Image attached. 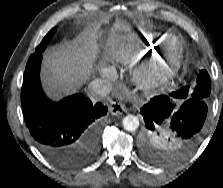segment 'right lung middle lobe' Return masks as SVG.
Listing matches in <instances>:
<instances>
[{
    "mask_svg": "<svg viewBox=\"0 0 223 188\" xmlns=\"http://www.w3.org/2000/svg\"><path fill=\"white\" fill-rule=\"evenodd\" d=\"M56 28H53L49 31V33L43 38L42 42L39 44V46L36 48V52H43L49 41L51 40L52 36L55 34Z\"/></svg>",
    "mask_w": 223,
    "mask_h": 188,
    "instance_id": "right-lung-middle-lobe-1",
    "label": "right lung middle lobe"
}]
</instances>
